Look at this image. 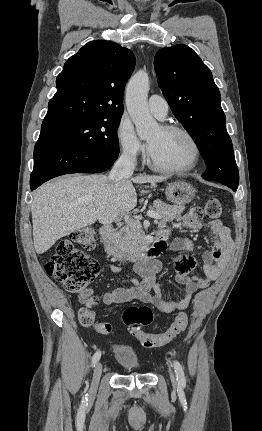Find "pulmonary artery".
<instances>
[{
	"label": "pulmonary artery",
	"mask_w": 262,
	"mask_h": 431,
	"mask_svg": "<svg viewBox=\"0 0 262 431\" xmlns=\"http://www.w3.org/2000/svg\"><path fill=\"white\" fill-rule=\"evenodd\" d=\"M151 113L158 119H164L168 114L167 101L159 95H151L148 100Z\"/></svg>",
	"instance_id": "pulmonary-artery-1"
}]
</instances>
